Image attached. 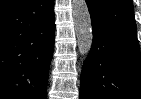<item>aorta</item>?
I'll return each mask as SVG.
<instances>
[{
    "label": "aorta",
    "instance_id": "1",
    "mask_svg": "<svg viewBox=\"0 0 141 99\" xmlns=\"http://www.w3.org/2000/svg\"><path fill=\"white\" fill-rule=\"evenodd\" d=\"M72 14L78 51L85 56L90 52L93 41L91 17L86 1L72 0Z\"/></svg>",
    "mask_w": 141,
    "mask_h": 99
}]
</instances>
